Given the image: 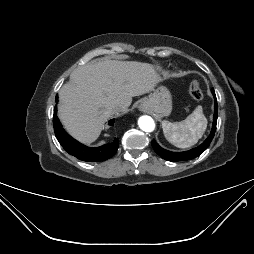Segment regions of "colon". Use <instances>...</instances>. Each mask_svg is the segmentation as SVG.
Segmentation results:
<instances>
[{"label": "colon", "instance_id": "colon-1", "mask_svg": "<svg viewBox=\"0 0 254 254\" xmlns=\"http://www.w3.org/2000/svg\"><path fill=\"white\" fill-rule=\"evenodd\" d=\"M189 93L195 101H201L204 97L200 85L197 81H193L190 84Z\"/></svg>", "mask_w": 254, "mask_h": 254}]
</instances>
